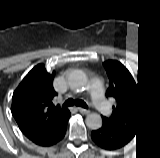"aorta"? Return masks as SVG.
<instances>
[{"mask_svg": "<svg viewBox=\"0 0 160 158\" xmlns=\"http://www.w3.org/2000/svg\"><path fill=\"white\" fill-rule=\"evenodd\" d=\"M69 84L77 91H83L88 85V79L82 72L73 73L69 79ZM101 116L96 113L89 114L86 117V123L91 128H98L101 126Z\"/></svg>", "mask_w": 160, "mask_h": 158, "instance_id": "aorta-1", "label": "aorta"}]
</instances>
